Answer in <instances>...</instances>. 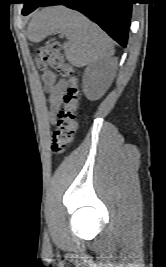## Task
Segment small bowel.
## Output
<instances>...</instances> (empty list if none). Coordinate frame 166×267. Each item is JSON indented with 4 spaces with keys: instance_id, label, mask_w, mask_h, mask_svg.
Here are the masks:
<instances>
[{
    "instance_id": "c3829d8e",
    "label": "small bowel",
    "mask_w": 166,
    "mask_h": 267,
    "mask_svg": "<svg viewBox=\"0 0 166 267\" xmlns=\"http://www.w3.org/2000/svg\"><path fill=\"white\" fill-rule=\"evenodd\" d=\"M67 86V82L65 80H60L56 86L51 90L50 94V104L52 108V112L56 110L60 105L61 95L64 89ZM51 119H53V113H51Z\"/></svg>"
}]
</instances>
